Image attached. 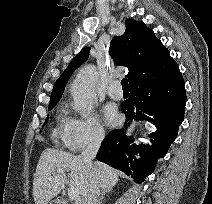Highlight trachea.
Masks as SVG:
<instances>
[{
  "label": "trachea",
  "instance_id": "trachea-1",
  "mask_svg": "<svg viewBox=\"0 0 212 204\" xmlns=\"http://www.w3.org/2000/svg\"><path fill=\"white\" fill-rule=\"evenodd\" d=\"M121 85H122L123 90H128V80H127V78L122 79Z\"/></svg>",
  "mask_w": 212,
  "mask_h": 204
}]
</instances>
